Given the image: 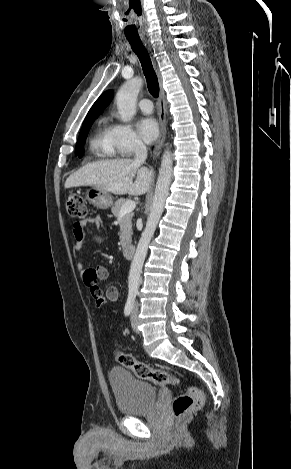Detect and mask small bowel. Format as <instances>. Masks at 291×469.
Listing matches in <instances>:
<instances>
[{
  "instance_id": "c3829d8e",
  "label": "small bowel",
  "mask_w": 291,
  "mask_h": 469,
  "mask_svg": "<svg viewBox=\"0 0 291 469\" xmlns=\"http://www.w3.org/2000/svg\"><path fill=\"white\" fill-rule=\"evenodd\" d=\"M100 217H92L77 221L73 224V239H74V250L76 252L81 251L82 244L86 236V228L90 224L96 226L101 225ZM98 240V239H97ZM77 268L83 270V264L78 263ZM108 277V270L104 266H98L93 269H89L83 272V280L85 285L89 288V291L94 298L95 296H101L107 303V301H116L119 296L118 289L114 286H111L107 289L106 294L103 295L100 287L98 286L99 280H105Z\"/></svg>"
}]
</instances>
